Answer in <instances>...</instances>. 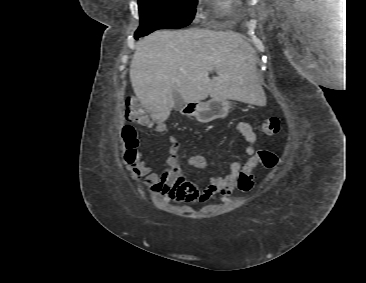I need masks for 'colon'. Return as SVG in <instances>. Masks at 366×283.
I'll list each match as a JSON object with an SVG mask.
<instances>
[{
	"label": "colon",
	"instance_id": "1",
	"mask_svg": "<svg viewBox=\"0 0 366 283\" xmlns=\"http://www.w3.org/2000/svg\"><path fill=\"white\" fill-rule=\"evenodd\" d=\"M125 116L130 122L137 124L147 123L144 110L135 99H128L126 101ZM280 130L281 121L278 117L267 118L259 125V131L267 136L276 135ZM123 136L129 148L126 158L127 161H131L135 156L134 148L137 146L138 140L134 129L129 126L125 127ZM259 164L267 169H274L278 165V157L275 153L268 150H259L255 157L246 163L244 169L239 175L237 186L241 192L247 193L254 187L253 170Z\"/></svg>",
	"mask_w": 366,
	"mask_h": 283
}]
</instances>
